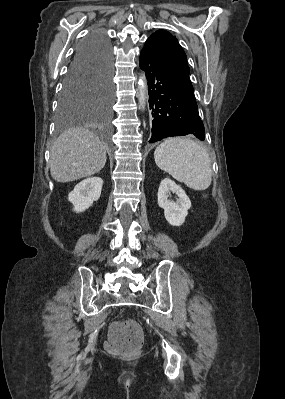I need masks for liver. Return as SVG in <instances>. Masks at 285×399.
Returning <instances> with one entry per match:
<instances>
[{"instance_id": "liver-1", "label": "liver", "mask_w": 285, "mask_h": 399, "mask_svg": "<svg viewBox=\"0 0 285 399\" xmlns=\"http://www.w3.org/2000/svg\"><path fill=\"white\" fill-rule=\"evenodd\" d=\"M106 159V148L93 132L72 128L52 145L50 173L57 182H71L98 173Z\"/></svg>"}]
</instances>
